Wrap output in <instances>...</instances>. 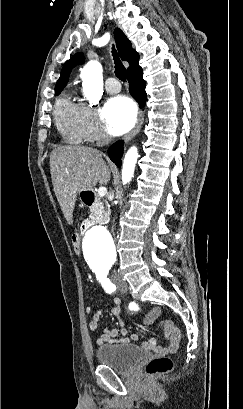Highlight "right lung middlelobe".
Returning <instances> with one entry per match:
<instances>
[{
	"mask_svg": "<svg viewBox=\"0 0 243 409\" xmlns=\"http://www.w3.org/2000/svg\"><path fill=\"white\" fill-rule=\"evenodd\" d=\"M56 93V95H59L60 94V92H55Z\"/></svg>",
	"mask_w": 243,
	"mask_h": 409,
	"instance_id": "dd1d6c3e",
	"label": "right lung middle lobe"
}]
</instances>
